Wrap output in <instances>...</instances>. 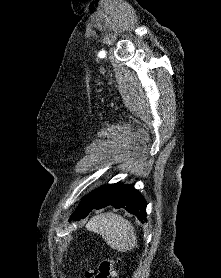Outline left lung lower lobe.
Here are the masks:
<instances>
[{"label":"left lung lower lobe","mask_w":221,"mask_h":278,"mask_svg":"<svg viewBox=\"0 0 221 278\" xmlns=\"http://www.w3.org/2000/svg\"><path fill=\"white\" fill-rule=\"evenodd\" d=\"M109 205L114 208H124L129 213L136 215L142 223L147 222V203L144 197L133 185H123L121 183L102 186L83 197L71 216V220L85 218L92 210Z\"/></svg>","instance_id":"obj_1"}]
</instances>
